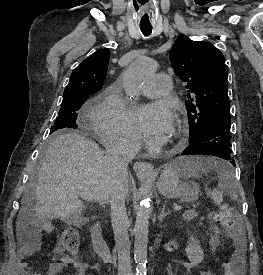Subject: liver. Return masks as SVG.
Here are the masks:
<instances>
[{
    "label": "liver",
    "instance_id": "1",
    "mask_svg": "<svg viewBox=\"0 0 263 275\" xmlns=\"http://www.w3.org/2000/svg\"><path fill=\"white\" fill-rule=\"evenodd\" d=\"M114 180L104 152L94 141L73 132L56 136L49 144L33 189L34 205L25 191L17 219L23 222L60 219L74 222L86 206L79 192L105 204L110 201Z\"/></svg>",
    "mask_w": 263,
    "mask_h": 275
}]
</instances>
